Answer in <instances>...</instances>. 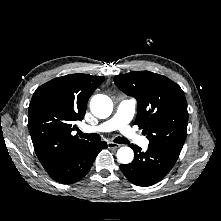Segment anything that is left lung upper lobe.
<instances>
[{"label":"left lung upper lobe","mask_w":221,"mask_h":221,"mask_svg":"<svg viewBox=\"0 0 221 221\" xmlns=\"http://www.w3.org/2000/svg\"><path fill=\"white\" fill-rule=\"evenodd\" d=\"M117 87L138 102L135 124L147 134L149 147L179 157L187 136L188 112L178 84L150 71L114 77Z\"/></svg>","instance_id":"5c2ea615"}]
</instances>
